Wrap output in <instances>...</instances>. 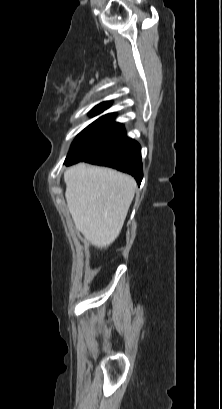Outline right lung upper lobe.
Masks as SVG:
<instances>
[{
    "instance_id": "obj_1",
    "label": "right lung upper lobe",
    "mask_w": 222,
    "mask_h": 409,
    "mask_svg": "<svg viewBox=\"0 0 222 409\" xmlns=\"http://www.w3.org/2000/svg\"><path fill=\"white\" fill-rule=\"evenodd\" d=\"M109 105H110V102H103V103H100L99 105H97L96 107H94V109L107 108Z\"/></svg>"
}]
</instances>
